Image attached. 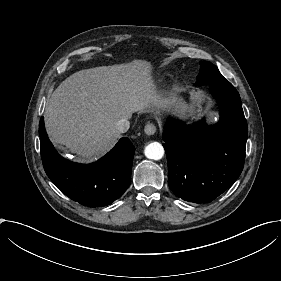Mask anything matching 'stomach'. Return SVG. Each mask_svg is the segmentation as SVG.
<instances>
[{
    "instance_id": "stomach-1",
    "label": "stomach",
    "mask_w": 281,
    "mask_h": 281,
    "mask_svg": "<svg viewBox=\"0 0 281 281\" xmlns=\"http://www.w3.org/2000/svg\"><path fill=\"white\" fill-rule=\"evenodd\" d=\"M193 109L190 105L181 107L174 115L173 119L188 122L192 117Z\"/></svg>"
}]
</instances>
